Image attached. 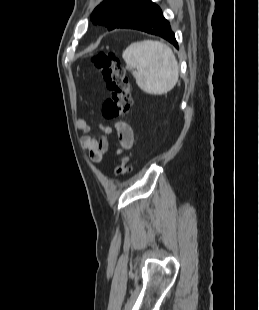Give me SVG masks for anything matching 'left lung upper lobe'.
I'll return each mask as SVG.
<instances>
[{
	"label": "left lung upper lobe",
	"mask_w": 259,
	"mask_h": 310,
	"mask_svg": "<svg viewBox=\"0 0 259 310\" xmlns=\"http://www.w3.org/2000/svg\"><path fill=\"white\" fill-rule=\"evenodd\" d=\"M147 2L149 0H104L94 9L91 20L112 30L128 12Z\"/></svg>",
	"instance_id": "obj_1"
}]
</instances>
